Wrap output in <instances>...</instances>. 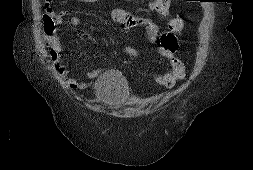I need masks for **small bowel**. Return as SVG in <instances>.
<instances>
[{
	"mask_svg": "<svg viewBox=\"0 0 253 170\" xmlns=\"http://www.w3.org/2000/svg\"><path fill=\"white\" fill-rule=\"evenodd\" d=\"M81 1L88 2L96 0ZM170 4L171 0H151L147 7L149 11H155L164 17H170ZM45 9L50 13L53 12L52 0H45ZM67 15L68 14L65 11L55 15V24L61 25L64 23ZM110 17L111 20L118 24L124 31H129L138 27H144L147 40L151 43L157 44L160 55L169 62V69L164 74L152 75L151 79L155 83L164 88H171L176 82L185 77L184 63L178 57H176V51L179 47V43L173 35L174 32H179L183 28V20L181 18H171L169 20L170 32L163 33L150 19L135 16L123 8H113L110 12ZM68 21L69 24L74 27H77L80 24V20L77 16H70ZM175 22H179L181 26L175 27ZM78 35L82 38L86 37V34L83 31H79ZM46 37L50 46L55 49L59 48V40L55 30L47 33ZM125 51L131 57L137 56V51L132 46H126ZM54 68L60 76L66 78L69 88L78 90L86 89L90 85L91 81L99 74V71L94 70L87 72L83 78H71L69 70L60 60H56L54 62Z\"/></svg>",
	"mask_w": 253,
	"mask_h": 170,
	"instance_id": "1",
	"label": "small bowel"
}]
</instances>
